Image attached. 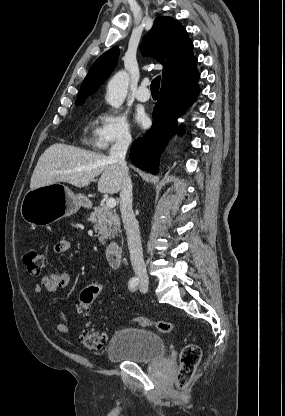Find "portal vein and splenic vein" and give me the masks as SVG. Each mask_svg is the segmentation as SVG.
<instances>
[{
    "mask_svg": "<svg viewBox=\"0 0 285 416\" xmlns=\"http://www.w3.org/2000/svg\"><path fill=\"white\" fill-rule=\"evenodd\" d=\"M106 206L107 208H115L116 200H114V198H108V200H106Z\"/></svg>",
    "mask_w": 285,
    "mask_h": 416,
    "instance_id": "1",
    "label": "portal vein and splenic vein"
}]
</instances>
